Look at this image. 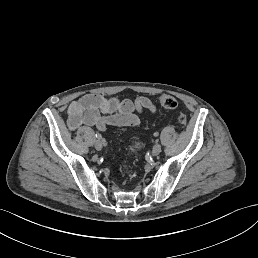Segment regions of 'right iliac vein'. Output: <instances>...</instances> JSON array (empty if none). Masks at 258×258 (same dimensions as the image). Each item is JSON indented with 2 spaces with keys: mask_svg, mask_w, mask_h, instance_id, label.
I'll return each instance as SVG.
<instances>
[{
  "mask_svg": "<svg viewBox=\"0 0 258 258\" xmlns=\"http://www.w3.org/2000/svg\"><path fill=\"white\" fill-rule=\"evenodd\" d=\"M94 146L98 151L104 150V145L100 140H95Z\"/></svg>",
  "mask_w": 258,
  "mask_h": 258,
  "instance_id": "1",
  "label": "right iliac vein"
}]
</instances>
